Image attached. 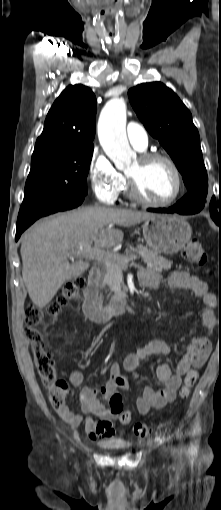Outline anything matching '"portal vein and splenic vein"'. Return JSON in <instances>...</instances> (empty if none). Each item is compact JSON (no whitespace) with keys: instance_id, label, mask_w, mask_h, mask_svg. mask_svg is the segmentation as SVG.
<instances>
[{"instance_id":"1","label":"portal vein and splenic vein","mask_w":221,"mask_h":510,"mask_svg":"<svg viewBox=\"0 0 221 510\" xmlns=\"http://www.w3.org/2000/svg\"><path fill=\"white\" fill-rule=\"evenodd\" d=\"M78 250L82 251L83 248L80 247ZM83 255L85 258L93 259V260H96L99 262H103L105 264H110L112 259H114L116 257L115 253L105 252L101 249H96V248H92V247L87 248L85 250V252L83 253ZM135 259H137V256L131 255L129 257L123 258L122 260L124 262L128 263L129 261L135 260Z\"/></svg>"}]
</instances>
